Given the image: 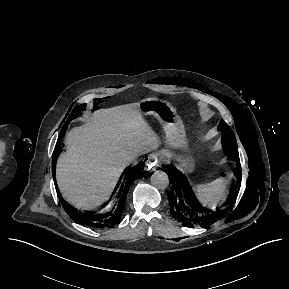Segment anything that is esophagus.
<instances>
[{"mask_svg":"<svg viewBox=\"0 0 289 289\" xmlns=\"http://www.w3.org/2000/svg\"><path fill=\"white\" fill-rule=\"evenodd\" d=\"M146 165L148 166V169L155 171L157 168L161 166V160L159 159L158 156H150L146 161Z\"/></svg>","mask_w":289,"mask_h":289,"instance_id":"34e87169","label":"esophagus"}]
</instances>
